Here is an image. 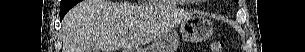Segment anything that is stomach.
I'll list each match as a JSON object with an SVG mask.
<instances>
[{"label": "stomach", "instance_id": "0dacf381", "mask_svg": "<svg viewBox=\"0 0 305 52\" xmlns=\"http://www.w3.org/2000/svg\"><path fill=\"white\" fill-rule=\"evenodd\" d=\"M213 33V25L203 16L191 15L181 22L180 35L187 42H202ZM179 34L175 30L163 33L145 50H127L126 52H175L179 46Z\"/></svg>", "mask_w": 305, "mask_h": 52}]
</instances>
